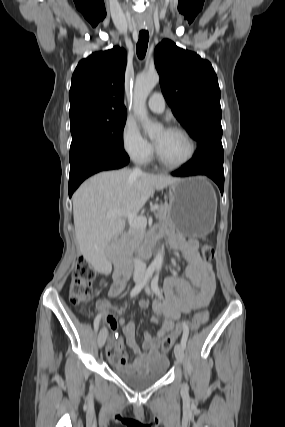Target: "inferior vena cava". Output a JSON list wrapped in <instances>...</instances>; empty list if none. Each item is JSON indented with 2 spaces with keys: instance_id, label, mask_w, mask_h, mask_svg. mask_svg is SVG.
<instances>
[{
  "instance_id": "inferior-vena-cava-1",
  "label": "inferior vena cava",
  "mask_w": 285,
  "mask_h": 427,
  "mask_svg": "<svg viewBox=\"0 0 285 427\" xmlns=\"http://www.w3.org/2000/svg\"><path fill=\"white\" fill-rule=\"evenodd\" d=\"M133 172L137 174V173H141L142 171L139 168H134ZM145 271H146V264L138 258L134 259V274L143 275Z\"/></svg>"
}]
</instances>
